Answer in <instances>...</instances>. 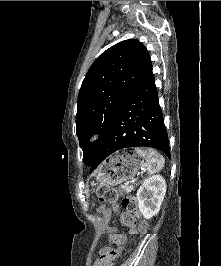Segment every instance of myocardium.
<instances>
[{
  "label": "myocardium",
  "instance_id": "obj_1",
  "mask_svg": "<svg viewBox=\"0 0 221 266\" xmlns=\"http://www.w3.org/2000/svg\"><path fill=\"white\" fill-rule=\"evenodd\" d=\"M99 139V136L98 135H94L91 139H90V142L89 144L90 145H94Z\"/></svg>",
  "mask_w": 221,
  "mask_h": 266
}]
</instances>
